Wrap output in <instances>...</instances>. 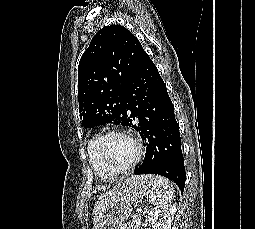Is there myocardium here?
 <instances>
[{"mask_svg": "<svg viewBox=\"0 0 255 229\" xmlns=\"http://www.w3.org/2000/svg\"><path fill=\"white\" fill-rule=\"evenodd\" d=\"M111 136H123V137L130 139L134 143V145L136 147V154L130 163L123 165V166H113L104 159V157L102 155V151H101V146L104 143V141ZM93 151H94L96 158L102 163V165L106 169L110 170L113 173H118V175H119L120 173L130 171L137 165V163L141 159L143 147H142V143H141L140 139L137 138L136 136H134L133 134L126 132V131H122V130H110V131L100 134L97 137L94 147H93Z\"/></svg>", "mask_w": 255, "mask_h": 229, "instance_id": "obj_1", "label": "myocardium"}]
</instances>
